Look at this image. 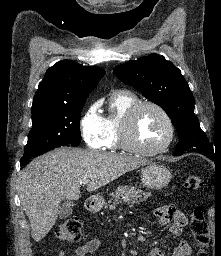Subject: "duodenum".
I'll return each instance as SVG.
<instances>
[{"instance_id": "obj_1", "label": "duodenum", "mask_w": 221, "mask_h": 256, "mask_svg": "<svg viewBox=\"0 0 221 256\" xmlns=\"http://www.w3.org/2000/svg\"><path fill=\"white\" fill-rule=\"evenodd\" d=\"M86 209L88 211H95L97 209V203L93 199H89L86 201Z\"/></svg>"}]
</instances>
